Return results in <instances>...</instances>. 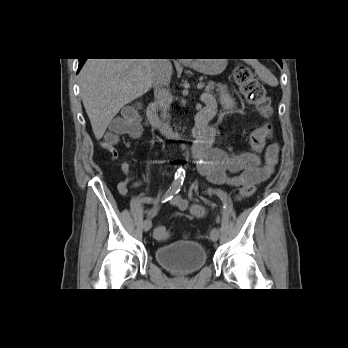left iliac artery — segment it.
<instances>
[{
    "instance_id": "left-iliac-artery-1",
    "label": "left iliac artery",
    "mask_w": 348,
    "mask_h": 348,
    "mask_svg": "<svg viewBox=\"0 0 348 348\" xmlns=\"http://www.w3.org/2000/svg\"><path fill=\"white\" fill-rule=\"evenodd\" d=\"M219 197L222 198L224 209H228L231 201L228 199V196L225 194V190L223 188L219 189Z\"/></svg>"
}]
</instances>
